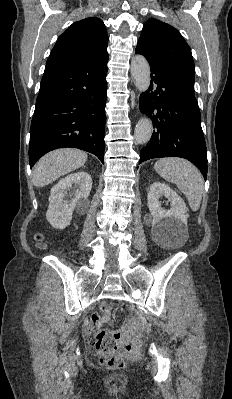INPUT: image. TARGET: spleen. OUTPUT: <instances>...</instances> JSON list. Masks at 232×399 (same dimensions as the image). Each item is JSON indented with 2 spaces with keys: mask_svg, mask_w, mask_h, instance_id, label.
Instances as JSON below:
<instances>
[{
  "mask_svg": "<svg viewBox=\"0 0 232 399\" xmlns=\"http://www.w3.org/2000/svg\"><path fill=\"white\" fill-rule=\"evenodd\" d=\"M154 170L166 182L176 184L178 190L186 196L193 211L199 209L204 192V180L196 166L182 158H162L154 164Z\"/></svg>",
  "mask_w": 232,
  "mask_h": 399,
  "instance_id": "3e777b00",
  "label": "spleen"
}]
</instances>
